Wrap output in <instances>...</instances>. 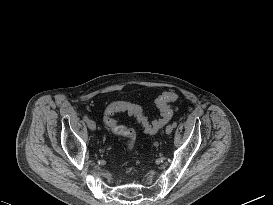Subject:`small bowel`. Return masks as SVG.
I'll return each mask as SVG.
<instances>
[{
	"label": "small bowel",
	"mask_w": 273,
	"mask_h": 205,
	"mask_svg": "<svg viewBox=\"0 0 273 205\" xmlns=\"http://www.w3.org/2000/svg\"><path fill=\"white\" fill-rule=\"evenodd\" d=\"M117 103H123L124 104V106H125V109L122 111V112H127L126 111V107H128V106H130V105H134V104H131V103H129V102H117ZM121 112V111H120ZM128 113V112H127Z\"/></svg>",
	"instance_id": "c3829d8e"
}]
</instances>
